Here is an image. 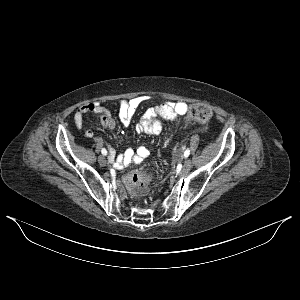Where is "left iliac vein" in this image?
<instances>
[{
  "instance_id": "1",
  "label": "left iliac vein",
  "mask_w": 300,
  "mask_h": 300,
  "mask_svg": "<svg viewBox=\"0 0 300 300\" xmlns=\"http://www.w3.org/2000/svg\"><path fill=\"white\" fill-rule=\"evenodd\" d=\"M191 168H192V162H191V160L187 159L184 162L183 168H182V170L180 172L181 175L187 174L190 171Z\"/></svg>"
}]
</instances>
